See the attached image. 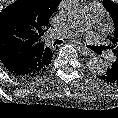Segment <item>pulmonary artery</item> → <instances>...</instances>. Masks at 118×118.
Returning a JSON list of instances; mask_svg holds the SVG:
<instances>
[{
  "instance_id": "1",
  "label": "pulmonary artery",
  "mask_w": 118,
  "mask_h": 118,
  "mask_svg": "<svg viewBox=\"0 0 118 118\" xmlns=\"http://www.w3.org/2000/svg\"><path fill=\"white\" fill-rule=\"evenodd\" d=\"M104 10L98 1L89 2L80 17L76 22L65 26V33L67 36H77L82 31L95 26L102 18ZM115 55L110 53L108 56L109 61H114Z\"/></svg>"
}]
</instances>
